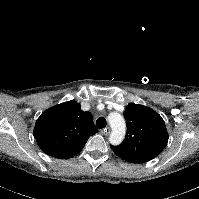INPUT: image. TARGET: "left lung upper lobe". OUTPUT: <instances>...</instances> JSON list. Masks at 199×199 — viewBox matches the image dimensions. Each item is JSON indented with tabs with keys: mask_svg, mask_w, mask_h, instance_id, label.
<instances>
[{
	"mask_svg": "<svg viewBox=\"0 0 199 199\" xmlns=\"http://www.w3.org/2000/svg\"><path fill=\"white\" fill-rule=\"evenodd\" d=\"M127 134L118 146H111L121 159L144 163L155 158L167 145L168 133L162 117L143 105L129 104L124 112Z\"/></svg>",
	"mask_w": 199,
	"mask_h": 199,
	"instance_id": "left-lung-upper-lobe-1",
	"label": "left lung upper lobe"
}]
</instances>
